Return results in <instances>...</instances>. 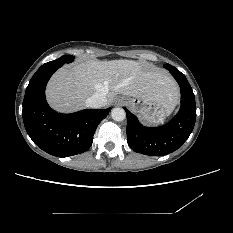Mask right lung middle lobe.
Returning <instances> with one entry per match:
<instances>
[{
  "label": "right lung middle lobe",
  "instance_id": "obj_1",
  "mask_svg": "<svg viewBox=\"0 0 233 233\" xmlns=\"http://www.w3.org/2000/svg\"><path fill=\"white\" fill-rule=\"evenodd\" d=\"M74 59V56L71 55H64L54 61H50L48 63H45L44 65H42L40 68L42 67H47V66H53V65H63L64 63H70L72 62Z\"/></svg>",
  "mask_w": 233,
  "mask_h": 233
}]
</instances>
